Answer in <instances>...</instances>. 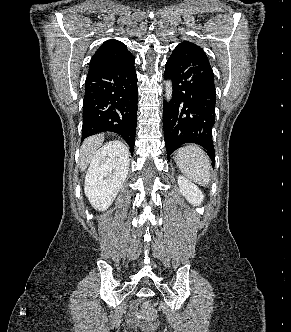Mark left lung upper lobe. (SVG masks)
I'll list each match as a JSON object with an SVG mask.
<instances>
[{"instance_id": "5c2ea615", "label": "left lung upper lobe", "mask_w": 291, "mask_h": 332, "mask_svg": "<svg viewBox=\"0 0 291 332\" xmlns=\"http://www.w3.org/2000/svg\"><path fill=\"white\" fill-rule=\"evenodd\" d=\"M178 46H195V47H199L196 44H194L192 42H189V41H183Z\"/></svg>"}]
</instances>
